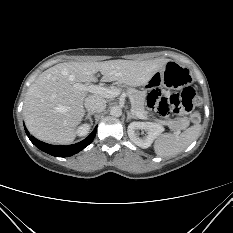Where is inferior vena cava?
Masks as SVG:
<instances>
[{"instance_id":"1","label":"inferior vena cava","mask_w":233,"mask_h":233,"mask_svg":"<svg viewBox=\"0 0 233 233\" xmlns=\"http://www.w3.org/2000/svg\"><path fill=\"white\" fill-rule=\"evenodd\" d=\"M84 105L89 112H102L106 108V101L102 97L90 95L85 99Z\"/></svg>"}]
</instances>
